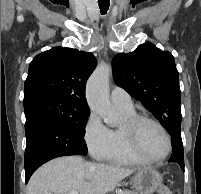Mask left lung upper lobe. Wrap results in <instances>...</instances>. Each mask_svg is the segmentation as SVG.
Wrapping results in <instances>:
<instances>
[{"label": "left lung upper lobe", "instance_id": "1", "mask_svg": "<svg viewBox=\"0 0 201 194\" xmlns=\"http://www.w3.org/2000/svg\"><path fill=\"white\" fill-rule=\"evenodd\" d=\"M116 84L160 120L166 130L181 131V91L174 57L147 42L112 60Z\"/></svg>", "mask_w": 201, "mask_h": 194}]
</instances>
